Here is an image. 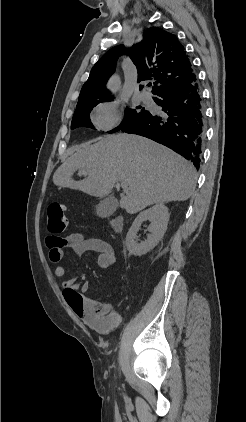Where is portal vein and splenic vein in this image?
<instances>
[{"instance_id":"1","label":"portal vein and splenic vein","mask_w":246,"mask_h":422,"mask_svg":"<svg viewBox=\"0 0 246 422\" xmlns=\"http://www.w3.org/2000/svg\"><path fill=\"white\" fill-rule=\"evenodd\" d=\"M120 185H121V187H122L123 189H125V188H126V185H125L124 183H121Z\"/></svg>"}]
</instances>
